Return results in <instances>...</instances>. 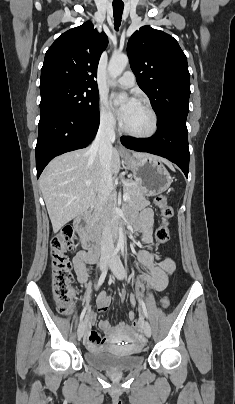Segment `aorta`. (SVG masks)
I'll return each mask as SVG.
<instances>
[{"label": "aorta", "mask_w": 235, "mask_h": 404, "mask_svg": "<svg viewBox=\"0 0 235 404\" xmlns=\"http://www.w3.org/2000/svg\"><path fill=\"white\" fill-rule=\"evenodd\" d=\"M128 64V57L127 55L120 53V54H113L109 65H108V73L111 78V84L114 85V80L121 75V73L124 71L125 67ZM126 99V97H121L119 99V102H122ZM118 244L122 245L124 244V233H123V227L120 225L119 227V239H118Z\"/></svg>", "instance_id": "1"}]
</instances>
